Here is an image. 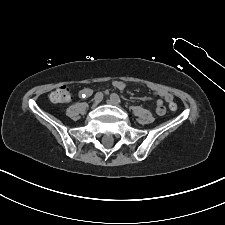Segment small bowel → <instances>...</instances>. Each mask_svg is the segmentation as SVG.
I'll return each instance as SVG.
<instances>
[{
    "label": "small bowel",
    "mask_w": 225,
    "mask_h": 225,
    "mask_svg": "<svg viewBox=\"0 0 225 225\" xmlns=\"http://www.w3.org/2000/svg\"><path fill=\"white\" fill-rule=\"evenodd\" d=\"M113 86L119 90H123L126 87V84L123 81L117 80L113 82ZM151 89L153 91L154 96L157 98L155 101L156 107L162 106L164 101L168 103L169 105L173 103V96L169 92L159 87H152ZM90 93H91V90L88 88H85L80 92V94H85V95H89ZM141 99L143 101H147V100H150L151 98L144 96Z\"/></svg>",
    "instance_id": "obj_1"
}]
</instances>
